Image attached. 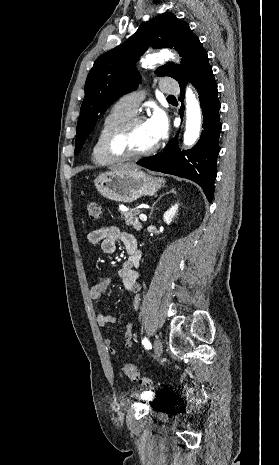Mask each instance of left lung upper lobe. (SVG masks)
<instances>
[{"label":"left lung upper lobe","instance_id":"1","mask_svg":"<svg viewBox=\"0 0 279 465\" xmlns=\"http://www.w3.org/2000/svg\"><path fill=\"white\" fill-rule=\"evenodd\" d=\"M149 46L174 48L183 57L182 64L168 62L157 68L158 76H170L181 82L193 71L206 52L189 25L173 13L158 15L142 23L126 42L96 59L85 83L77 124L75 154L93 130L98 115L122 95L136 89L140 77L135 69L138 58Z\"/></svg>","mask_w":279,"mask_h":465}]
</instances>
